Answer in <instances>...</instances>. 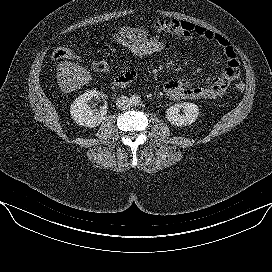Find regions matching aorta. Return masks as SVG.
Here are the masks:
<instances>
[{"instance_id":"762f6f07","label":"aorta","mask_w":272,"mask_h":272,"mask_svg":"<svg viewBox=\"0 0 272 272\" xmlns=\"http://www.w3.org/2000/svg\"><path fill=\"white\" fill-rule=\"evenodd\" d=\"M131 106H137L141 103V98L138 95H132L130 97Z\"/></svg>"}]
</instances>
